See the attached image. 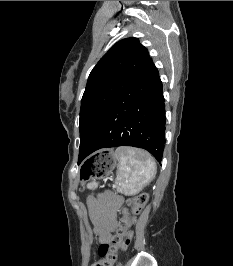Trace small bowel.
Masks as SVG:
<instances>
[{"mask_svg":"<svg viewBox=\"0 0 233 266\" xmlns=\"http://www.w3.org/2000/svg\"><path fill=\"white\" fill-rule=\"evenodd\" d=\"M122 198L111 194H100L90 199V217L98 242L108 244L117 225L118 211Z\"/></svg>","mask_w":233,"mask_h":266,"instance_id":"obj_1","label":"small bowel"}]
</instances>
